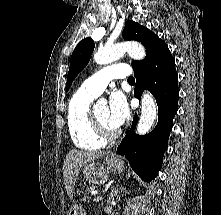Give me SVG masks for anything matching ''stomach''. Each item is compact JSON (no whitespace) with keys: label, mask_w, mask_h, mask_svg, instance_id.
I'll return each instance as SVG.
<instances>
[{"label":"stomach","mask_w":221,"mask_h":215,"mask_svg":"<svg viewBox=\"0 0 221 215\" xmlns=\"http://www.w3.org/2000/svg\"><path fill=\"white\" fill-rule=\"evenodd\" d=\"M124 170V161L115 154L105 157L104 163L90 162L84 165L83 176L89 183L103 184L108 180L109 173H121ZM67 215H86L82 206L73 205Z\"/></svg>","instance_id":"obj_1"}]
</instances>
